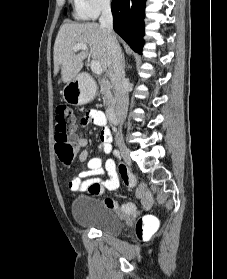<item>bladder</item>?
<instances>
[{
	"mask_svg": "<svg viewBox=\"0 0 227 279\" xmlns=\"http://www.w3.org/2000/svg\"><path fill=\"white\" fill-rule=\"evenodd\" d=\"M74 221L96 229L102 233L118 236L122 233L123 222L113 211L105 207L103 201L94 196L79 197L72 207Z\"/></svg>",
	"mask_w": 227,
	"mask_h": 279,
	"instance_id": "1",
	"label": "bladder"
}]
</instances>
